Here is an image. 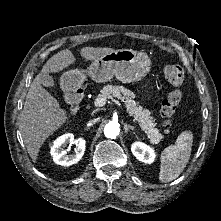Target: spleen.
Instances as JSON below:
<instances>
[{"label":"spleen","instance_id":"1","mask_svg":"<svg viewBox=\"0 0 221 221\" xmlns=\"http://www.w3.org/2000/svg\"><path fill=\"white\" fill-rule=\"evenodd\" d=\"M193 134L183 131L174 145L165 148L160 157L159 180L170 182L178 178L186 167L192 150Z\"/></svg>","mask_w":221,"mask_h":221}]
</instances>
